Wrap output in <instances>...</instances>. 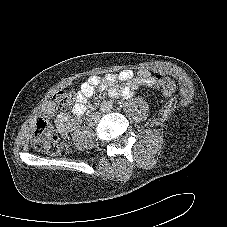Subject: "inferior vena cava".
<instances>
[{"label":"inferior vena cava","instance_id":"1","mask_svg":"<svg viewBox=\"0 0 227 227\" xmlns=\"http://www.w3.org/2000/svg\"><path fill=\"white\" fill-rule=\"evenodd\" d=\"M107 106L109 107V109L106 112H109L111 110V103L110 102H106V101L102 102L101 110L105 111V107H107Z\"/></svg>","mask_w":227,"mask_h":227}]
</instances>
